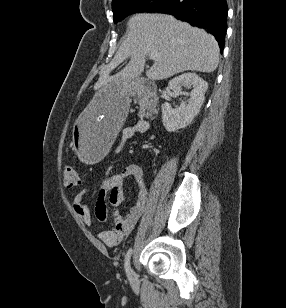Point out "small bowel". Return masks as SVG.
<instances>
[{
  "mask_svg": "<svg viewBox=\"0 0 286 308\" xmlns=\"http://www.w3.org/2000/svg\"><path fill=\"white\" fill-rule=\"evenodd\" d=\"M150 130L147 121H139L135 126L124 128L122 131L123 143L118 152L123 149L124 142L137 133H146ZM133 179L137 185V201L130 212L121 217L113 210L115 226L110 230H101L98 234L100 240L107 246H117L122 239L132 231L142 217L146 208L147 188L142 168L137 164L127 165L120 173L105 180L100 188L95 205V215L99 221H105L109 216L108 205L116 208L125 198V187L128 180ZM88 189L84 188L73 198V208L86 225L93 224V217L86 204Z\"/></svg>",
  "mask_w": 286,
  "mask_h": 308,
  "instance_id": "obj_1",
  "label": "small bowel"
}]
</instances>
